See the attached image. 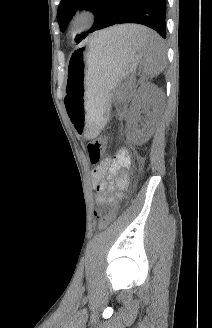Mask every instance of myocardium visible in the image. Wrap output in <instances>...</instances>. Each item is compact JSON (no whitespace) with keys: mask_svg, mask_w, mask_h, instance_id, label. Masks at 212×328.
Wrapping results in <instances>:
<instances>
[{"mask_svg":"<svg viewBox=\"0 0 212 328\" xmlns=\"http://www.w3.org/2000/svg\"><path fill=\"white\" fill-rule=\"evenodd\" d=\"M97 18V12L91 7H81L74 11L70 19V31L77 34L91 26Z\"/></svg>","mask_w":212,"mask_h":328,"instance_id":"f54148a6","label":"myocardium"}]
</instances>
